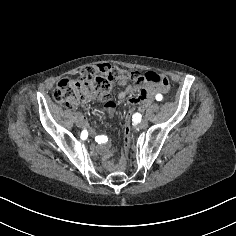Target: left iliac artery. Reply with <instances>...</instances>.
Returning a JSON list of instances; mask_svg holds the SVG:
<instances>
[{
  "label": "left iliac artery",
  "mask_w": 236,
  "mask_h": 236,
  "mask_svg": "<svg viewBox=\"0 0 236 236\" xmlns=\"http://www.w3.org/2000/svg\"><path fill=\"white\" fill-rule=\"evenodd\" d=\"M155 98L157 101H161L163 96L161 94H157Z\"/></svg>",
  "instance_id": "1"
}]
</instances>
